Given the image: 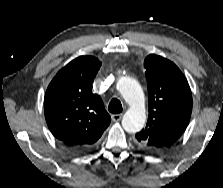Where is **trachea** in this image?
I'll return each mask as SVG.
<instances>
[{
    "label": "trachea",
    "instance_id": "trachea-1",
    "mask_svg": "<svg viewBox=\"0 0 223 188\" xmlns=\"http://www.w3.org/2000/svg\"><path fill=\"white\" fill-rule=\"evenodd\" d=\"M108 110L110 113H113V114L121 113L123 108H122V104L120 100L113 98L109 103Z\"/></svg>",
    "mask_w": 223,
    "mask_h": 188
}]
</instances>
